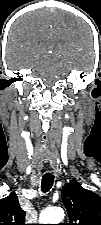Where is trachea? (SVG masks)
<instances>
[{"mask_svg":"<svg viewBox=\"0 0 101 225\" xmlns=\"http://www.w3.org/2000/svg\"><path fill=\"white\" fill-rule=\"evenodd\" d=\"M54 176L53 175H45L42 177V183H41V191L47 192L49 191L53 186Z\"/></svg>","mask_w":101,"mask_h":225,"instance_id":"1","label":"trachea"}]
</instances>
